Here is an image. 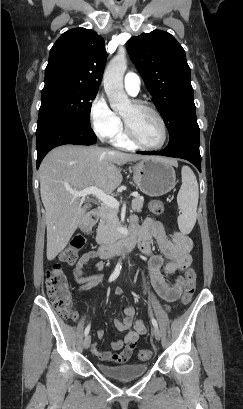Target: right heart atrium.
Wrapping results in <instances>:
<instances>
[{"mask_svg":"<svg viewBox=\"0 0 243 409\" xmlns=\"http://www.w3.org/2000/svg\"><path fill=\"white\" fill-rule=\"evenodd\" d=\"M89 122L95 134L104 140L113 141L122 131L120 118L101 94H97L90 104Z\"/></svg>","mask_w":243,"mask_h":409,"instance_id":"1","label":"right heart atrium"}]
</instances>
